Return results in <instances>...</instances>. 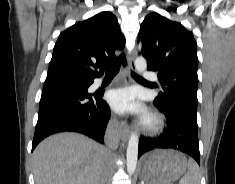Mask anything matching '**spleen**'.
<instances>
[{
  "label": "spleen",
  "mask_w": 235,
  "mask_h": 184,
  "mask_svg": "<svg viewBox=\"0 0 235 184\" xmlns=\"http://www.w3.org/2000/svg\"><path fill=\"white\" fill-rule=\"evenodd\" d=\"M179 184H200L199 166L192 158L188 162V172L181 178Z\"/></svg>",
  "instance_id": "obj_1"
}]
</instances>
